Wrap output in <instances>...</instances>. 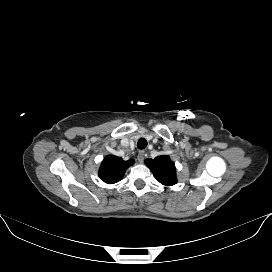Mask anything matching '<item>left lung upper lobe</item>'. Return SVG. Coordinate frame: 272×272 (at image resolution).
<instances>
[{
  "instance_id": "5c2ea615",
  "label": "left lung upper lobe",
  "mask_w": 272,
  "mask_h": 272,
  "mask_svg": "<svg viewBox=\"0 0 272 272\" xmlns=\"http://www.w3.org/2000/svg\"><path fill=\"white\" fill-rule=\"evenodd\" d=\"M144 162L161 184L172 186L177 183L176 168L169 156L161 155L155 159L147 158Z\"/></svg>"
}]
</instances>
